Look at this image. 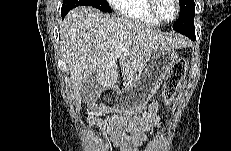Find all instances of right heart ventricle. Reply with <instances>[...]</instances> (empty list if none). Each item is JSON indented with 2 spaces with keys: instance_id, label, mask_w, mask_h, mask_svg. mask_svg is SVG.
I'll return each mask as SVG.
<instances>
[{
  "instance_id": "right-heart-ventricle-1",
  "label": "right heart ventricle",
  "mask_w": 231,
  "mask_h": 151,
  "mask_svg": "<svg viewBox=\"0 0 231 151\" xmlns=\"http://www.w3.org/2000/svg\"><path fill=\"white\" fill-rule=\"evenodd\" d=\"M149 0H120L115 7L126 21L157 26L160 24L150 13Z\"/></svg>"
}]
</instances>
